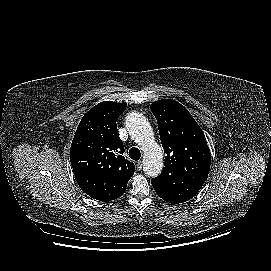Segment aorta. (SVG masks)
<instances>
[{"mask_svg":"<svg viewBox=\"0 0 271 271\" xmlns=\"http://www.w3.org/2000/svg\"><path fill=\"white\" fill-rule=\"evenodd\" d=\"M125 121L129 135L143 150V171L149 177L158 176L164 165L163 150L154 139L150 123L138 112L128 113Z\"/></svg>","mask_w":271,"mask_h":271,"instance_id":"1","label":"aorta"}]
</instances>
